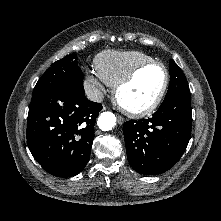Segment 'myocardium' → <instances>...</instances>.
<instances>
[{"label": "myocardium", "mask_w": 221, "mask_h": 221, "mask_svg": "<svg viewBox=\"0 0 221 221\" xmlns=\"http://www.w3.org/2000/svg\"><path fill=\"white\" fill-rule=\"evenodd\" d=\"M152 66H158V67L162 68L164 71V82H163V85H162L159 93L157 94L155 99L150 104H148L147 106H145L143 108L134 109V108H130V107L126 106L121 101V99L119 97L120 91L124 87L129 85L142 70H144L148 67H152ZM169 82H170L169 71H168L167 67L162 62H159L156 60H150L147 62H143V63L137 65L136 67H134L127 75H125L114 86L113 100L117 104V106L127 115L135 117V118L144 117V116L150 115L159 107V105L161 104V102L164 99L165 94L168 90Z\"/></svg>", "instance_id": "1"}]
</instances>
